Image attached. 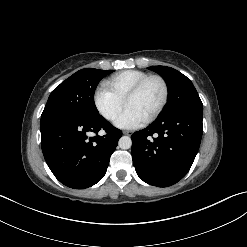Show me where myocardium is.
I'll return each instance as SVG.
<instances>
[{"label":"myocardium","mask_w":247,"mask_h":247,"mask_svg":"<svg viewBox=\"0 0 247 247\" xmlns=\"http://www.w3.org/2000/svg\"><path fill=\"white\" fill-rule=\"evenodd\" d=\"M151 80H158L161 83L162 88H163V97L158 107L151 113L149 117H147L146 122H151L155 120L161 114V112L164 110V108L166 107L168 103L170 89H169V85L166 79L163 76L158 75V74L148 75L144 77L143 79H141L139 82H137L129 90V92L126 94L125 99H124V103L127 104V102L131 98L136 96L142 90V88Z\"/></svg>","instance_id":"obj_1"}]
</instances>
